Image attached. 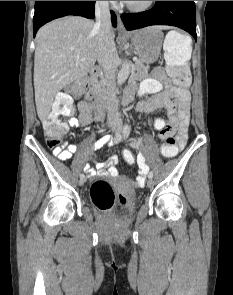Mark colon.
I'll list each match as a JSON object with an SVG mask.
<instances>
[{
  "label": "colon",
  "instance_id": "colon-1",
  "mask_svg": "<svg viewBox=\"0 0 233 295\" xmlns=\"http://www.w3.org/2000/svg\"><path fill=\"white\" fill-rule=\"evenodd\" d=\"M192 42L191 39L178 31L170 32L164 42V54L166 70L173 79L172 92L174 95H181L188 91L191 78L188 71L191 60ZM85 86H89V80L79 79L70 84L65 92L59 93L52 105V109L43 122L44 133L50 147H58L68 129V124L62 118L73 113L71 95L82 93ZM163 140L161 152L163 156L170 158L178 153L179 146L173 137V130L165 127L160 131ZM124 161L133 165L136 157L129 149L122 151ZM91 199L96 207L101 210L110 209L116 200L112 186L105 180L95 181L90 188Z\"/></svg>",
  "mask_w": 233,
  "mask_h": 295
}]
</instances>
